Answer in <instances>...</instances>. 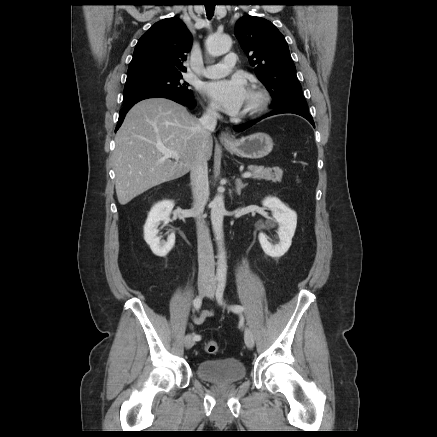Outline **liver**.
<instances>
[{
	"instance_id": "6515ba94",
	"label": "liver",
	"mask_w": 437,
	"mask_h": 437,
	"mask_svg": "<svg viewBox=\"0 0 437 437\" xmlns=\"http://www.w3.org/2000/svg\"><path fill=\"white\" fill-rule=\"evenodd\" d=\"M202 140L199 120L184 106L164 98L135 104L115 136L112 162L118 202L125 205L152 187L187 174L199 157ZM161 147L177 152L179 159L165 157ZM212 149L210 135L204 150L207 160Z\"/></svg>"
}]
</instances>
